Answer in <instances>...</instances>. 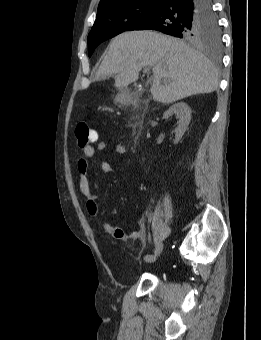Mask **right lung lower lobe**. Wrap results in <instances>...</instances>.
Wrapping results in <instances>:
<instances>
[{"label": "right lung lower lobe", "instance_id": "right-lung-lower-lobe-1", "mask_svg": "<svg viewBox=\"0 0 261 340\" xmlns=\"http://www.w3.org/2000/svg\"><path fill=\"white\" fill-rule=\"evenodd\" d=\"M212 12L211 0H162L156 11L133 30H157L181 38L188 19Z\"/></svg>", "mask_w": 261, "mask_h": 340}]
</instances>
